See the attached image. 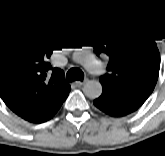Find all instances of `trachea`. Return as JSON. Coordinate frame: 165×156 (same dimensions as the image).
<instances>
[{"label":"trachea","mask_w":165,"mask_h":156,"mask_svg":"<svg viewBox=\"0 0 165 156\" xmlns=\"http://www.w3.org/2000/svg\"><path fill=\"white\" fill-rule=\"evenodd\" d=\"M84 78V73L79 68H72L66 74L67 82H72L75 80L82 81Z\"/></svg>","instance_id":"3493384b"}]
</instances>
